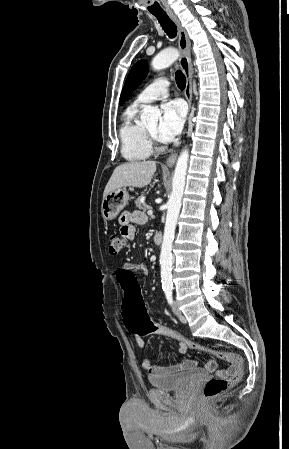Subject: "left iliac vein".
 Wrapping results in <instances>:
<instances>
[{
  "label": "left iliac vein",
  "instance_id": "left-iliac-vein-1",
  "mask_svg": "<svg viewBox=\"0 0 289 449\" xmlns=\"http://www.w3.org/2000/svg\"><path fill=\"white\" fill-rule=\"evenodd\" d=\"M172 310L182 323L187 322L185 316L183 315L182 311L180 310V308L176 302L173 303Z\"/></svg>",
  "mask_w": 289,
  "mask_h": 449
}]
</instances>
